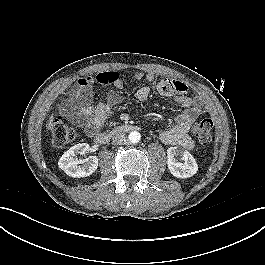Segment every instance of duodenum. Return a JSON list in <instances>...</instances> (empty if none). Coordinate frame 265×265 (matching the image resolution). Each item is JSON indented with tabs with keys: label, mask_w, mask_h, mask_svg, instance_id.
Masks as SVG:
<instances>
[{
	"label": "duodenum",
	"mask_w": 265,
	"mask_h": 265,
	"mask_svg": "<svg viewBox=\"0 0 265 265\" xmlns=\"http://www.w3.org/2000/svg\"><path fill=\"white\" fill-rule=\"evenodd\" d=\"M139 129L138 125L135 124H122L116 127L111 133L109 132H97L93 135L94 140L99 145L106 144L113 134L127 133L137 131Z\"/></svg>",
	"instance_id": "obj_1"
}]
</instances>
